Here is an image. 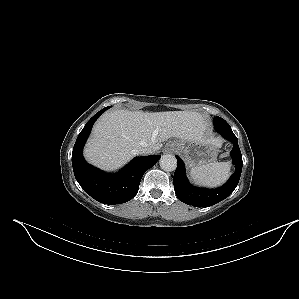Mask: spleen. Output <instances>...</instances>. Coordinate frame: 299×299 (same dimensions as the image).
Wrapping results in <instances>:
<instances>
[{"label":"spleen","mask_w":299,"mask_h":299,"mask_svg":"<svg viewBox=\"0 0 299 299\" xmlns=\"http://www.w3.org/2000/svg\"><path fill=\"white\" fill-rule=\"evenodd\" d=\"M230 175L229 162H211L193 167L190 170L191 179L200 185L217 186L225 182Z\"/></svg>","instance_id":"spleen-1"}]
</instances>
